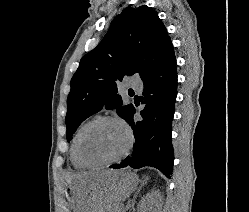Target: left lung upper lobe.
<instances>
[{"mask_svg":"<svg viewBox=\"0 0 249 212\" xmlns=\"http://www.w3.org/2000/svg\"><path fill=\"white\" fill-rule=\"evenodd\" d=\"M171 42L156 11L148 6L127 7L115 17L101 43L82 57L71 79L67 98V140L89 116L116 109L124 118L131 105L122 106L117 82L148 69L160 50Z\"/></svg>","mask_w":249,"mask_h":212,"instance_id":"obj_1","label":"left lung upper lobe"}]
</instances>
